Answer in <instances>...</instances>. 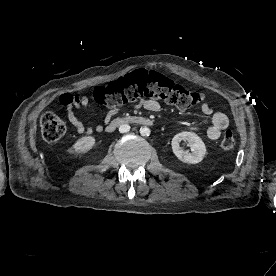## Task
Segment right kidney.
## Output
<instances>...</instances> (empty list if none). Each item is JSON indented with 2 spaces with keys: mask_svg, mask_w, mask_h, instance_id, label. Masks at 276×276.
Listing matches in <instances>:
<instances>
[{
  "mask_svg": "<svg viewBox=\"0 0 276 276\" xmlns=\"http://www.w3.org/2000/svg\"><path fill=\"white\" fill-rule=\"evenodd\" d=\"M95 144V138L92 136H85L78 139L73 145L72 149L76 154L88 152Z\"/></svg>",
  "mask_w": 276,
  "mask_h": 276,
  "instance_id": "right-kidney-1",
  "label": "right kidney"
}]
</instances>
